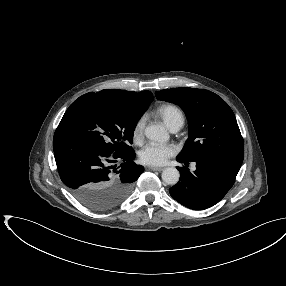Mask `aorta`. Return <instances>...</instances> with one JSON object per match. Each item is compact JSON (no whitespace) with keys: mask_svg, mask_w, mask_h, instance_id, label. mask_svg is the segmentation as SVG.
Returning <instances> with one entry per match:
<instances>
[{"mask_svg":"<svg viewBox=\"0 0 286 286\" xmlns=\"http://www.w3.org/2000/svg\"><path fill=\"white\" fill-rule=\"evenodd\" d=\"M145 135L150 140L166 142L169 140V133L162 125L152 124L146 127ZM180 173L174 167L165 168L162 172V180L168 185H175L179 181Z\"/></svg>","mask_w":286,"mask_h":286,"instance_id":"1","label":"aorta"}]
</instances>
